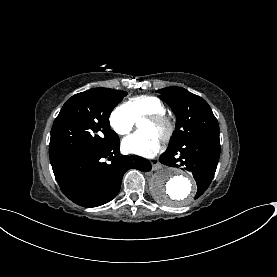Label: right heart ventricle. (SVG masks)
Returning <instances> with one entry per match:
<instances>
[{
  "instance_id": "e07e8e85",
  "label": "right heart ventricle",
  "mask_w": 277,
  "mask_h": 277,
  "mask_svg": "<svg viewBox=\"0 0 277 277\" xmlns=\"http://www.w3.org/2000/svg\"><path fill=\"white\" fill-rule=\"evenodd\" d=\"M135 120L141 118L149 112H165V106L154 96L142 95L131 98L126 104Z\"/></svg>"
}]
</instances>
